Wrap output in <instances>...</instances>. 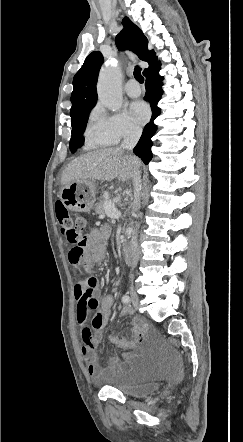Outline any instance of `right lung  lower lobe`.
Returning a JSON list of instances; mask_svg holds the SVG:
<instances>
[{
	"instance_id": "1",
	"label": "right lung lower lobe",
	"mask_w": 243,
	"mask_h": 442,
	"mask_svg": "<svg viewBox=\"0 0 243 442\" xmlns=\"http://www.w3.org/2000/svg\"><path fill=\"white\" fill-rule=\"evenodd\" d=\"M160 62H157L154 66L148 69L144 75L146 77V95L145 99L150 102L152 109V117L150 122L145 126L142 136L134 148V153L138 155L145 164H148L152 159L151 147L153 145L151 138L154 136L157 130V126L154 124V119L159 116L160 109L157 107L158 101L161 99L163 93L161 81L163 77L159 75Z\"/></svg>"
}]
</instances>
